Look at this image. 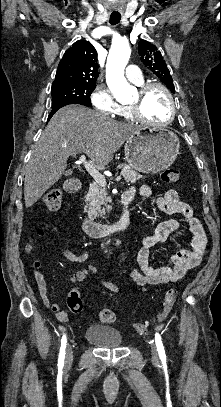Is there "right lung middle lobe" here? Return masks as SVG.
Masks as SVG:
<instances>
[{"instance_id":"right-lung-middle-lobe-1","label":"right lung middle lobe","mask_w":221,"mask_h":407,"mask_svg":"<svg viewBox=\"0 0 221 407\" xmlns=\"http://www.w3.org/2000/svg\"><path fill=\"white\" fill-rule=\"evenodd\" d=\"M95 88L94 83H73L52 88V108L63 104L90 106V95Z\"/></svg>"}]
</instances>
